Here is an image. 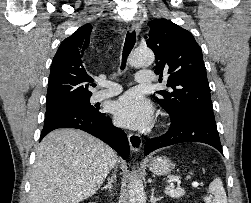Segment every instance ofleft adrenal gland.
Instances as JSON below:
<instances>
[{"mask_svg":"<svg viewBox=\"0 0 251 203\" xmlns=\"http://www.w3.org/2000/svg\"><path fill=\"white\" fill-rule=\"evenodd\" d=\"M154 190H155L154 188H152V190H151V197H150V202L151 203H156L157 201L162 199V197L156 198L154 196Z\"/></svg>","mask_w":251,"mask_h":203,"instance_id":"obj_1","label":"left adrenal gland"}]
</instances>
